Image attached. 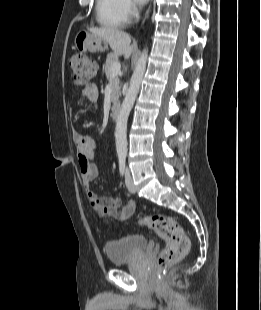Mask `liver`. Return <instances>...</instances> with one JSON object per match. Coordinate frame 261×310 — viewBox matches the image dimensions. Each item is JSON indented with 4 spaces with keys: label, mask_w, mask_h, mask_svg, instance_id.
<instances>
[{
    "label": "liver",
    "mask_w": 261,
    "mask_h": 310,
    "mask_svg": "<svg viewBox=\"0 0 261 310\" xmlns=\"http://www.w3.org/2000/svg\"><path fill=\"white\" fill-rule=\"evenodd\" d=\"M88 31L106 41L115 54L123 55L125 59L131 56L133 46L127 33L115 28H90Z\"/></svg>",
    "instance_id": "6515ba94"
}]
</instances>
